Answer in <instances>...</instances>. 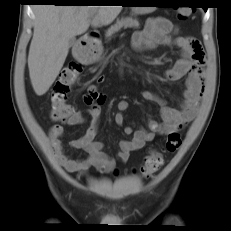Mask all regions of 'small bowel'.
<instances>
[{"label": "small bowel", "mask_w": 231, "mask_h": 231, "mask_svg": "<svg viewBox=\"0 0 231 231\" xmlns=\"http://www.w3.org/2000/svg\"><path fill=\"white\" fill-rule=\"evenodd\" d=\"M177 27L165 18H153L148 21L145 28L133 34L132 45L136 50H152L159 44H174L181 50V57L175 65L169 69L165 76L170 81L185 80V90L180 109H174L165 104L161 107V122L150 119L149 131L139 129L134 131L131 127L124 128L126 135H132L130 140H122L119 144L120 150L117 159L127 162L132 152L142 149L147 142L154 140L156 135H166L182 129L195 117L204 90V51L201 43L189 36H176ZM100 76L97 81L102 82ZM147 100L163 103V101L151 92H145ZM88 110V129L78 139L71 140L70 146L82 149L87 156L84 159H73L67 155L64 149V129L60 125H54L49 131V143L54 155L61 166L68 172L85 174L91 167L109 171L114 168L116 160L106 155L103 151V143L96 139L101 106L105 102L104 94L100 93L94 84H88L83 96ZM129 103L125 99L118 101L117 112L114 120L117 125L125 122L124 112ZM82 112L76 111L67 120L69 126H77L86 122Z\"/></svg>", "instance_id": "c3829d8e"}]
</instances>
